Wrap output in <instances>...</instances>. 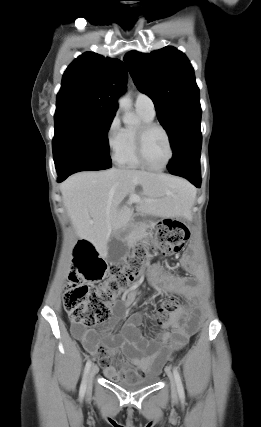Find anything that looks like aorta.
<instances>
[{"mask_svg": "<svg viewBox=\"0 0 261 427\" xmlns=\"http://www.w3.org/2000/svg\"><path fill=\"white\" fill-rule=\"evenodd\" d=\"M119 107L124 111V116H123V122L125 124H135L137 123V119L136 117L133 115V113L131 112V108H132V101L129 98V96L123 95L119 101Z\"/></svg>", "mask_w": 261, "mask_h": 427, "instance_id": "aorta-1", "label": "aorta"}]
</instances>
